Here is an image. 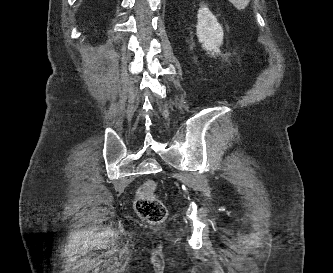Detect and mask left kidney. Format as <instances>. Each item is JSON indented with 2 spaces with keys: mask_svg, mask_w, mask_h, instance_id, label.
I'll return each instance as SVG.
<instances>
[{
  "mask_svg": "<svg viewBox=\"0 0 333 273\" xmlns=\"http://www.w3.org/2000/svg\"><path fill=\"white\" fill-rule=\"evenodd\" d=\"M197 37L202 47L212 56L220 53V45L223 41V29L211 11L201 6L197 14Z\"/></svg>",
  "mask_w": 333,
  "mask_h": 273,
  "instance_id": "1",
  "label": "left kidney"
}]
</instances>
